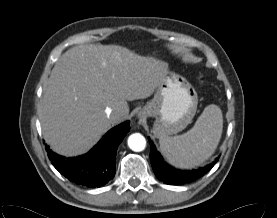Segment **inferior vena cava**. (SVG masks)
<instances>
[{"mask_svg":"<svg viewBox=\"0 0 277 218\" xmlns=\"http://www.w3.org/2000/svg\"><path fill=\"white\" fill-rule=\"evenodd\" d=\"M105 113H106V115L108 116V118H111V117L120 118V117L122 116V114H121L120 112L117 113V114H114V113H113V110H112L111 108H109V107H107V108L105 109Z\"/></svg>","mask_w":277,"mask_h":218,"instance_id":"602c4592","label":"inferior vena cava"}]
</instances>
